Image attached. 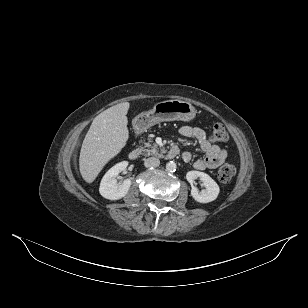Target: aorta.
<instances>
[{"label":"aorta","instance_id":"1","mask_svg":"<svg viewBox=\"0 0 308 308\" xmlns=\"http://www.w3.org/2000/svg\"><path fill=\"white\" fill-rule=\"evenodd\" d=\"M176 163L173 162V161H170L166 164V169L169 171V172H173L176 170Z\"/></svg>","mask_w":308,"mask_h":308}]
</instances>
